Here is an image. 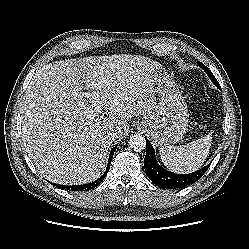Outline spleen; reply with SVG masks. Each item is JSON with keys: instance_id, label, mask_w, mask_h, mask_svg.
Wrapping results in <instances>:
<instances>
[{"instance_id": "spleen-1", "label": "spleen", "mask_w": 249, "mask_h": 249, "mask_svg": "<svg viewBox=\"0 0 249 249\" xmlns=\"http://www.w3.org/2000/svg\"><path fill=\"white\" fill-rule=\"evenodd\" d=\"M212 142V134L185 145L162 146L160 156L163 164L176 173H191L203 165Z\"/></svg>"}]
</instances>
